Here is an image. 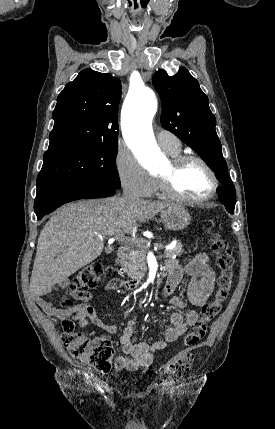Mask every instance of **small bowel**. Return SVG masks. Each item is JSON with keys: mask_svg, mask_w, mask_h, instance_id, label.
I'll return each mask as SVG.
<instances>
[{"mask_svg": "<svg viewBox=\"0 0 275 429\" xmlns=\"http://www.w3.org/2000/svg\"><path fill=\"white\" fill-rule=\"evenodd\" d=\"M166 269L169 273L165 283L163 294L169 302L182 309L185 307L183 299L173 296L177 286L183 279L184 274L189 276L187 284L188 302L195 307H203L211 299L214 292L215 273L209 266V258L205 253H198L189 260L184 266H181L175 260L166 262ZM122 285L118 279L110 280L106 285L107 291L117 290ZM61 283L53 286L41 288L35 292V301L47 314L64 319L72 316L82 327L92 323L108 333H115L117 326L103 321L90 304L91 294L87 291H78L72 296L79 301L73 307L59 309L52 302L46 300L44 295L57 290ZM161 321L164 329V338L154 343L146 341L134 342L132 340L134 333L135 318L132 317L127 326L124 328L120 337L121 355L115 359L114 366L116 370L135 371L141 367H147L152 364L154 353L164 349L169 343L175 342L181 337L189 327L194 326L198 321V312L196 310H187L184 314L175 311L170 315L171 326H165Z\"/></svg>", "mask_w": 275, "mask_h": 429, "instance_id": "1", "label": "small bowel"}]
</instances>
